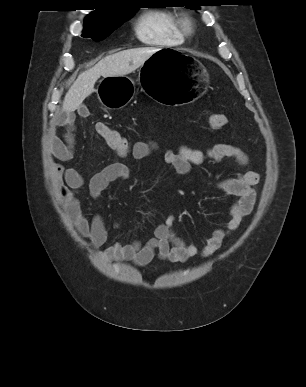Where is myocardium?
<instances>
[{"mask_svg": "<svg viewBox=\"0 0 306 387\" xmlns=\"http://www.w3.org/2000/svg\"><path fill=\"white\" fill-rule=\"evenodd\" d=\"M180 26L185 34H191L194 29V23L191 17L184 15L180 19Z\"/></svg>", "mask_w": 306, "mask_h": 387, "instance_id": "obj_1", "label": "myocardium"}]
</instances>
